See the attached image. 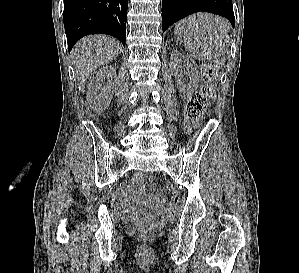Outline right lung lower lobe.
<instances>
[{"instance_id":"obj_1","label":"right lung lower lobe","mask_w":299,"mask_h":273,"mask_svg":"<svg viewBox=\"0 0 299 273\" xmlns=\"http://www.w3.org/2000/svg\"><path fill=\"white\" fill-rule=\"evenodd\" d=\"M128 0H64L68 50L83 36L108 34L125 46Z\"/></svg>"}]
</instances>
